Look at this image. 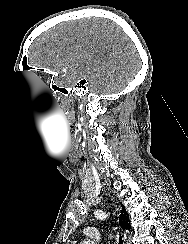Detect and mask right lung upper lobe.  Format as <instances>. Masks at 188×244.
Wrapping results in <instances>:
<instances>
[{
  "mask_svg": "<svg viewBox=\"0 0 188 244\" xmlns=\"http://www.w3.org/2000/svg\"><path fill=\"white\" fill-rule=\"evenodd\" d=\"M119 224L122 229H130V224H129V217L128 213L125 211V209L122 210L120 217H119Z\"/></svg>",
  "mask_w": 188,
  "mask_h": 244,
  "instance_id": "cb5924a9",
  "label": "right lung upper lobe"
}]
</instances>
